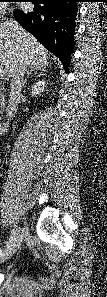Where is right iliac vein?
Masks as SVG:
<instances>
[{
	"instance_id": "right-iliac-vein-1",
	"label": "right iliac vein",
	"mask_w": 107,
	"mask_h": 297,
	"mask_svg": "<svg viewBox=\"0 0 107 297\" xmlns=\"http://www.w3.org/2000/svg\"><path fill=\"white\" fill-rule=\"evenodd\" d=\"M25 231H26L25 228H19V232H25ZM14 252H15V247H12V248L6 250L3 253V256L1 257V261H5V260L9 259Z\"/></svg>"
}]
</instances>
